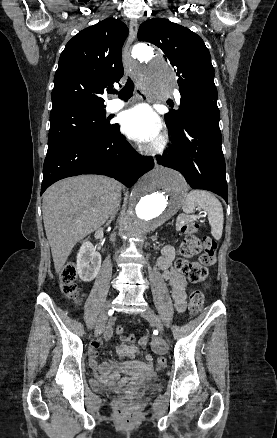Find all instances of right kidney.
<instances>
[{
	"mask_svg": "<svg viewBox=\"0 0 277 438\" xmlns=\"http://www.w3.org/2000/svg\"><path fill=\"white\" fill-rule=\"evenodd\" d=\"M101 266V254L96 252L91 242H83L78 254L76 272L82 282H92Z\"/></svg>",
	"mask_w": 277,
	"mask_h": 438,
	"instance_id": "obj_1",
	"label": "right kidney"
}]
</instances>
